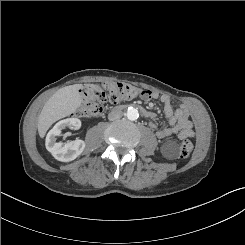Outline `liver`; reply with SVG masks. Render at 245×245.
I'll return each instance as SVG.
<instances>
[{
  "label": "liver",
  "instance_id": "6515ba94",
  "mask_svg": "<svg viewBox=\"0 0 245 245\" xmlns=\"http://www.w3.org/2000/svg\"><path fill=\"white\" fill-rule=\"evenodd\" d=\"M81 84L63 87L56 91L45 103L38 118V133L43 138L56 121L74 113L82 103L79 93Z\"/></svg>",
  "mask_w": 245,
  "mask_h": 245
}]
</instances>
